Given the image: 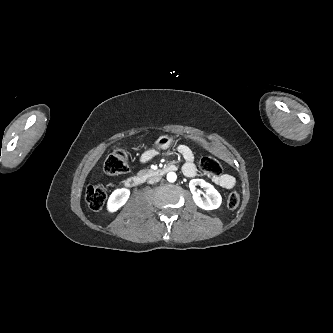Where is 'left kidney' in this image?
<instances>
[{
  "label": "left kidney",
  "mask_w": 333,
  "mask_h": 333,
  "mask_svg": "<svg viewBox=\"0 0 333 333\" xmlns=\"http://www.w3.org/2000/svg\"><path fill=\"white\" fill-rule=\"evenodd\" d=\"M201 186L207 196L202 198L199 191H196V186ZM191 193L193 195V200L196 205L205 210L217 209L222 202L221 195L219 192L208 182L203 179H192L189 183Z\"/></svg>",
  "instance_id": "5707ae66"
}]
</instances>
